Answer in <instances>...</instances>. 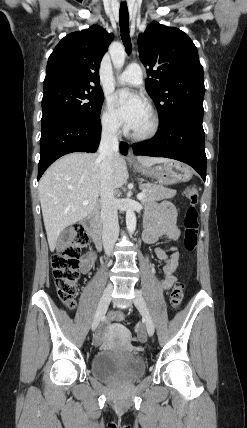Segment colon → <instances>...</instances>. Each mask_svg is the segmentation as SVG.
<instances>
[{
	"instance_id": "5ec220e1",
	"label": "colon",
	"mask_w": 247,
	"mask_h": 428,
	"mask_svg": "<svg viewBox=\"0 0 247 428\" xmlns=\"http://www.w3.org/2000/svg\"><path fill=\"white\" fill-rule=\"evenodd\" d=\"M189 202V208L184 218L183 246L188 252L195 249L198 233V193L194 186L187 187L185 191ZM90 237L81 225L71 227L67 240L56 250L51 257L52 273L55 280L58 296L65 306L72 308L77 294L79 279V252L82 247L89 244ZM184 296V285L176 282L170 293V303L173 308H178ZM110 321L123 323L126 320L125 312H111ZM139 332L141 330L139 329Z\"/></svg>"
}]
</instances>
